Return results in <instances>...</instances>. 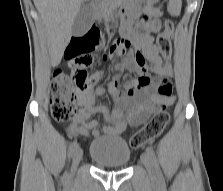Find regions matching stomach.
Instances as JSON below:
<instances>
[{"instance_id": "stomach-1", "label": "stomach", "mask_w": 223, "mask_h": 191, "mask_svg": "<svg viewBox=\"0 0 223 191\" xmlns=\"http://www.w3.org/2000/svg\"><path fill=\"white\" fill-rule=\"evenodd\" d=\"M153 2H157L158 0H152Z\"/></svg>"}]
</instances>
